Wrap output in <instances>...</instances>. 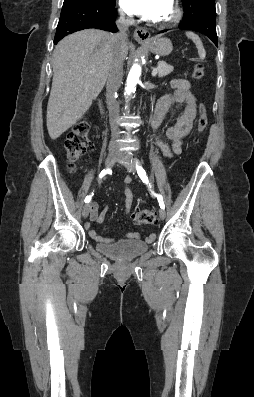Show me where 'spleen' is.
Wrapping results in <instances>:
<instances>
[{
	"label": "spleen",
	"mask_w": 254,
	"mask_h": 397,
	"mask_svg": "<svg viewBox=\"0 0 254 397\" xmlns=\"http://www.w3.org/2000/svg\"><path fill=\"white\" fill-rule=\"evenodd\" d=\"M185 34L189 39H191L195 43L197 50H198L199 57L201 59H204L206 56V52L203 47L202 41L200 40L198 35H196L195 33L191 32V31H187Z\"/></svg>",
	"instance_id": "obj_1"
}]
</instances>
